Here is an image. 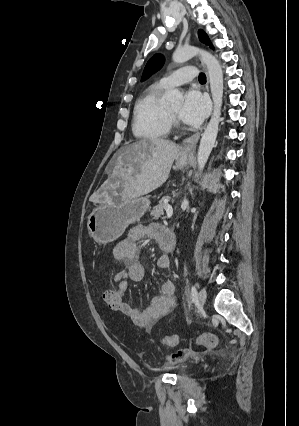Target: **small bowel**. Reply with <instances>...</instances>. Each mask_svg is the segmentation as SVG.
Segmentation results:
<instances>
[{"label": "small bowel", "mask_w": 299, "mask_h": 426, "mask_svg": "<svg viewBox=\"0 0 299 426\" xmlns=\"http://www.w3.org/2000/svg\"><path fill=\"white\" fill-rule=\"evenodd\" d=\"M165 227L159 224H150L148 226H136L132 228L127 236L120 240L115 246L113 255L117 262L124 268L116 273L113 282L123 292L128 290L129 280L138 282L144 276V268L138 260V245L145 238L161 242L162 232ZM156 265L159 269H166L170 266V258L162 255L157 259ZM176 305L175 285L172 281H165L160 286L159 294L152 298L151 303L144 309L131 306L126 300L120 312L128 316L134 324L146 329L152 326L160 319L168 315ZM188 355L185 351H179L172 354L168 361L176 363L185 359Z\"/></svg>", "instance_id": "1"}]
</instances>
